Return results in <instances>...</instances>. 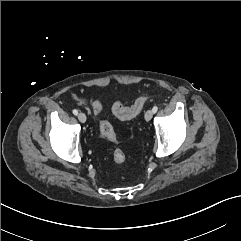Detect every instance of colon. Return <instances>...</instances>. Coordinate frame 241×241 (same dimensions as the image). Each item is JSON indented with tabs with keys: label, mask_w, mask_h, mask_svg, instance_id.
I'll use <instances>...</instances> for the list:
<instances>
[{
	"label": "colon",
	"mask_w": 241,
	"mask_h": 241,
	"mask_svg": "<svg viewBox=\"0 0 241 241\" xmlns=\"http://www.w3.org/2000/svg\"><path fill=\"white\" fill-rule=\"evenodd\" d=\"M147 99V97H140L130 106H126L121 102H116L112 107L113 113L121 120L130 119L141 112ZM100 130L107 140L116 141V134L109 121L102 120L100 123ZM113 160L116 164H123L126 160L125 153L121 149H116L113 153Z\"/></svg>",
	"instance_id": "colon-1"
}]
</instances>
